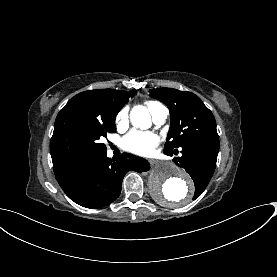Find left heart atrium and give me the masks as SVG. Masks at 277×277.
I'll use <instances>...</instances> for the list:
<instances>
[{
    "instance_id": "39dd6f15",
    "label": "left heart atrium",
    "mask_w": 277,
    "mask_h": 277,
    "mask_svg": "<svg viewBox=\"0 0 277 277\" xmlns=\"http://www.w3.org/2000/svg\"><path fill=\"white\" fill-rule=\"evenodd\" d=\"M158 142L157 136L152 132L132 130L122 140V147L139 155H150Z\"/></svg>"
}]
</instances>
